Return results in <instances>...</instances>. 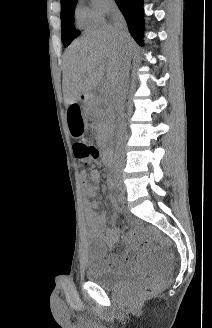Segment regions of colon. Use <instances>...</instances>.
Wrapping results in <instances>:
<instances>
[{
  "label": "colon",
  "instance_id": "5ec220e1",
  "mask_svg": "<svg viewBox=\"0 0 212 328\" xmlns=\"http://www.w3.org/2000/svg\"><path fill=\"white\" fill-rule=\"evenodd\" d=\"M84 125V123H83ZM73 150L75 157L82 162L83 168L87 169L88 164L98 157V150L97 148L85 141L84 139L81 140H75L73 144ZM155 289V284L149 283L145 285L142 290L140 291V295H147L150 294Z\"/></svg>",
  "mask_w": 212,
  "mask_h": 328
}]
</instances>
